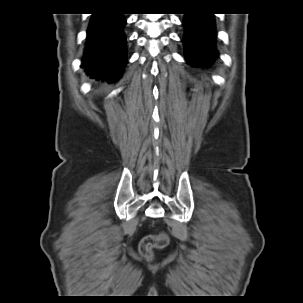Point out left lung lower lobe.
<instances>
[{
    "instance_id": "0a47b994",
    "label": "left lung lower lobe",
    "mask_w": 303,
    "mask_h": 303,
    "mask_svg": "<svg viewBox=\"0 0 303 303\" xmlns=\"http://www.w3.org/2000/svg\"><path fill=\"white\" fill-rule=\"evenodd\" d=\"M184 47L188 61L208 66L217 57L214 47L215 27L211 13H190L184 18Z\"/></svg>"
}]
</instances>
